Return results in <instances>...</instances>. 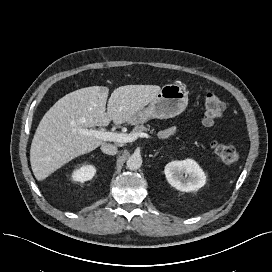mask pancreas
I'll list each match as a JSON object with an SVG mask.
<instances>
[{
  "mask_svg": "<svg viewBox=\"0 0 272 272\" xmlns=\"http://www.w3.org/2000/svg\"><path fill=\"white\" fill-rule=\"evenodd\" d=\"M150 130V125H136L134 129L132 130V133H139V132H144V131H149ZM150 132H153V130H150Z\"/></svg>",
  "mask_w": 272,
  "mask_h": 272,
  "instance_id": "pancreas-1",
  "label": "pancreas"
}]
</instances>
